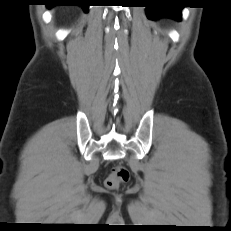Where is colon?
Wrapping results in <instances>:
<instances>
[{
    "label": "colon",
    "instance_id": "obj_1",
    "mask_svg": "<svg viewBox=\"0 0 231 231\" xmlns=\"http://www.w3.org/2000/svg\"><path fill=\"white\" fill-rule=\"evenodd\" d=\"M129 177V173L126 168L122 166H116L113 168L111 174L106 178L105 185L108 188L115 189L119 185L125 182Z\"/></svg>",
    "mask_w": 231,
    "mask_h": 231
}]
</instances>
